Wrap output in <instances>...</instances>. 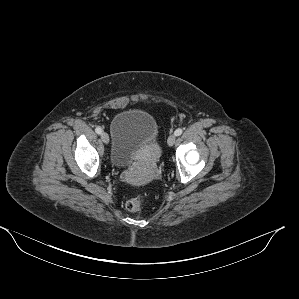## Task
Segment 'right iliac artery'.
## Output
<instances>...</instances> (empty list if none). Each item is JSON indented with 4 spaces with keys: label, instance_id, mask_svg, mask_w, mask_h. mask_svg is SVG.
<instances>
[{
    "label": "right iliac artery",
    "instance_id": "1",
    "mask_svg": "<svg viewBox=\"0 0 299 299\" xmlns=\"http://www.w3.org/2000/svg\"><path fill=\"white\" fill-rule=\"evenodd\" d=\"M97 134H101L102 133V129L100 127H96L95 129Z\"/></svg>",
    "mask_w": 299,
    "mask_h": 299
}]
</instances>
